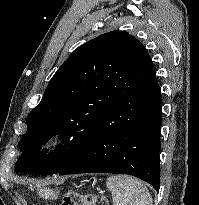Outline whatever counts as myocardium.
Returning <instances> with one entry per match:
<instances>
[{
    "instance_id": "obj_1",
    "label": "myocardium",
    "mask_w": 199,
    "mask_h": 205,
    "mask_svg": "<svg viewBox=\"0 0 199 205\" xmlns=\"http://www.w3.org/2000/svg\"><path fill=\"white\" fill-rule=\"evenodd\" d=\"M60 143V139L57 136H48L41 141L38 151L41 154H49L55 151L59 147Z\"/></svg>"
}]
</instances>
